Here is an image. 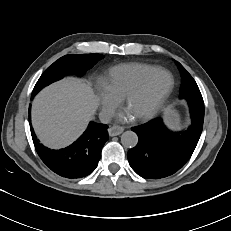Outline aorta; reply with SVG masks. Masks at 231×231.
I'll use <instances>...</instances> for the list:
<instances>
[{
    "mask_svg": "<svg viewBox=\"0 0 231 231\" xmlns=\"http://www.w3.org/2000/svg\"><path fill=\"white\" fill-rule=\"evenodd\" d=\"M121 143L124 147L133 148L138 143V136L133 131H125L121 135Z\"/></svg>",
    "mask_w": 231,
    "mask_h": 231,
    "instance_id": "762f6f07",
    "label": "aorta"
}]
</instances>
